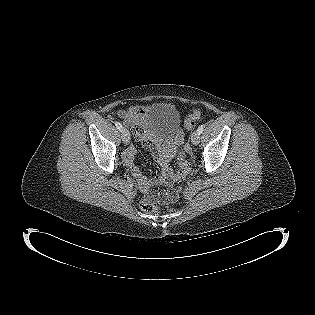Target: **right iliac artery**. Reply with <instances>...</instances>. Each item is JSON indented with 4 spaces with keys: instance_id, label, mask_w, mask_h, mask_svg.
I'll use <instances>...</instances> for the list:
<instances>
[{
    "instance_id": "obj_1",
    "label": "right iliac artery",
    "mask_w": 315,
    "mask_h": 315,
    "mask_svg": "<svg viewBox=\"0 0 315 315\" xmlns=\"http://www.w3.org/2000/svg\"><path fill=\"white\" fill-rule=\"evenodd\" d=\"M115 126H116V128H117L119 131H122L123 127H122L121 123L115 122Z\"/></svg>"
}]
</instances>
